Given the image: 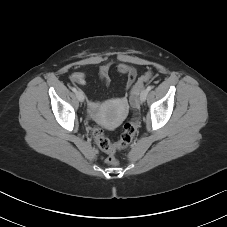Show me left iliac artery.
Masks as SVG:
<instances>
[{"instance_id":"44dca946","label":"left iliac artery","mask_w":227,"mask_h":227,"mask_svg":"<svg viewBox=\"0 0 227 227\" xmlns=\"http://www.w3.org/2000/svg\"><path fill=\"white\" fill-rule=\"evenodd\" d=\"M151 89H153V86L152 85H150V86L147 87V91H150Z\"/></svg>"}]
</instances>
